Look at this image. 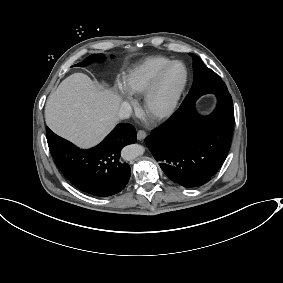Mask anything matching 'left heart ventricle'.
I'll list each match as a JSON object with an SVG mask.
<instances>
[{
	"mask_svg": "<svg viewBox=\"0 0 283 283\" xmlns=\"http://www.w3.org/2000/svg\"><path fill=\"white\" fill-rule=\"evenodd\" d=\"M184 79V68L181 64L173 65L163 76L159 89L157 98L155 101L156 107L165 106L174 93L181 86Z\"/></svg>",
	"mask_w": 283,
	"mask_h": 283,
	"instance_id": "b2bd125f",
	"label": "left heart ventricle"
}]
</instances>
